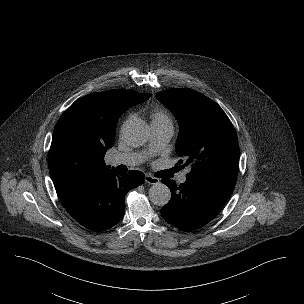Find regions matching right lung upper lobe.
<instances>
[{
  "mask_svg": "<svg viewBox=\"0 0 304 304\" xmlns=\"http://www.w3.org/2000/svg\"><path fill=\"white\" fill-rule=\"evenodd\" d=\"M150 96L132 90L92 93L75 101L63 113L53 132L48 167L64 205L109 169L104 156L113 146L118 118Z\"/></svg>",
  "mask_w": 304,
  "mask_h": 304,
  "instance_id": "right-lung-upper-lobe-1",
  "label": "right lung upper lobe"
}]
</instances>
